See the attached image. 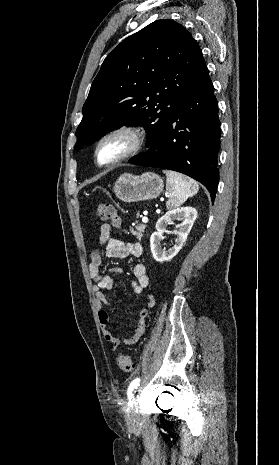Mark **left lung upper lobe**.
Returning <instances> with one entry per match:
<instances>
[{
    "instance_id": "obj_1",
    "label": "left lung upper lobe",
    "mask_w": 279,
    "mask_h": 465,
    "mask_svg": "<svg viewBox=\"0 0 279 465\" xmlns=\"http://www.w3.org/2000/svg\"><path fill=\"white\" fill-rule=\"evenodd\" d=\"M202 61L196 40L173 20L154 21L126 38L92 83L75 149L126 124L145 126L151 147L176 116Z\"/></svg>"
}]
</instances>
